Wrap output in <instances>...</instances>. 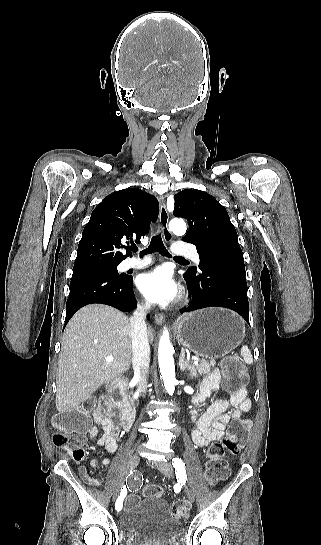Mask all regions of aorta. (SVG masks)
Returning <instances> with one entry per match:
<instances>
[{"label":"aorta","instance_id":"obj_1","mask_svg":"<svg viewBox=\"0 0 321 545\" xmlns=\"http://www.w3.org/2000/svg\"><path fill=\"white\" fill-rule=\"evenodd\" d=\"M169 228L174 234L184 235L186 223L181 219H173L169 223ZM173 353L169 333L165 330L159 342L158 360L164 387L169 395H173L176 383Z\"/></svg>","mask_w":321,"mask_h":545}]
</instances>
